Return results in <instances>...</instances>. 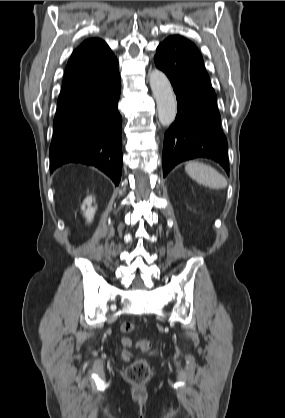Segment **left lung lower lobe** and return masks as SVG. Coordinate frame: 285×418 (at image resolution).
I'll use <instances>...</instances> for the list:
<instances>
[{
	"label": "left lung lower lobe",
	"instance_id": "0a47b994",
	"mask_svg": "<svg viewBox=\"0 0 285 418\" xmlns=\"http://www.w3.org/2000/svg\"><path fill=\"white\" fill-rule=\"evenodd\" d=\"M154 62L169 78L179 107L164 136L163 176L178 163L197 157L212 159L229 173L216 94L196 46L184 37L170 36L157 47Z\"/></svg>",
	"mask_w": 285,
	"mask_h": 418
}]
</instances>
